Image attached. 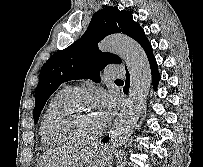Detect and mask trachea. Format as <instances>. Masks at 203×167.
Segmentation results:
<instances>
[{"instance_id": "trachea-1", "label": "trachea", "mask_w": 203, "mask_h": 167, "mask_svg": "<svg viewBox=\"0 0 203 167\" xmlns=\"http://www.w3.org/2000/svg\"><path fill=\"white\" fill-rule=\"evenodd\" d=\"M116 81H122L121 79H117Z\"/></svg>"}]
</instances>
